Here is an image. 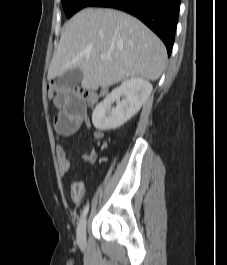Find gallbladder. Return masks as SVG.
Here are the masks:
<instances>
[{"mask_svg":"<svg viewBox=\"0 0 227 265\" xmlns=\"http://www.w3.org/2000/svg\"><path fill=\"white\" fill-rule=\"evenodd\" d=\"M82 71L79 68L69 70L58 77V84L62 87H72L82 81Z\"/></svg>","mask_w":227,"mask_h":265,"instance_id":"bac80fb5","label":"gallbladder"}]
</instances>
